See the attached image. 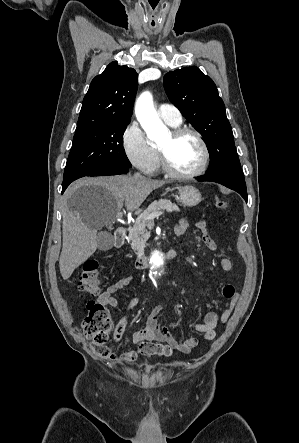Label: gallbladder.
Listing matches in <instances>:
<instances>
[{"label":"gallbladder","instance_id":"gallbladder-1","mask_svg":"<svg viewBox=\"0 0 299 443\" xmlns=\"http://www.w3.org/2000/svg\"><path fill=\"white\" fill-rule=\"evenodd\" d=\"M98 249L101 251H108L114 244V237L108 231H103L97 235Z\"/></svg>","mask_w":299,"mask_h":443}]
</instances>
